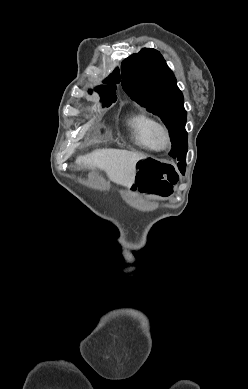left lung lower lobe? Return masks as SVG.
<instances>
[{"mask_svg": "<svg viewBox=\"0 0 248 389\" xmlns=\"http://www.w3.org/2000/svg\"><path fill=\"white\" fill-rule=\"evenodd\" d=\"M185 166H186L185 160L184 161H180L178 163V168H179V170L181 171L182 174L185 173Z\"/></svg>", "mask_w": 248, "mask_h": 389, "instance_id": "left-lung-lower-lobe-1", "label": "left lung lower lobe"}]
</instances>
